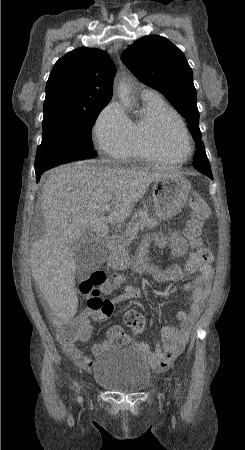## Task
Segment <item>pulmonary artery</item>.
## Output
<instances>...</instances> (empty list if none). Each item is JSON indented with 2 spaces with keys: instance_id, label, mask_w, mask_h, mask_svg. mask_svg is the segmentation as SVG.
<instances>
[{
  "instance_id": "obj_1",
  "label": "pulmonary artery",
  "mask_w": 245,
  "mask_h": 450,
  "mask_svg": "<svg viewBox=\"0 0 245 450\" xmlns=\"http://www.w3.org/2000/svg\"><path fill=\"white\" fill-rule=\"evenodd\" d=\"M154 94H157V92L154 91L151 88H145L141 92V97H147V96H151V95H154Z\"/></svg>"
}]
</instances>
